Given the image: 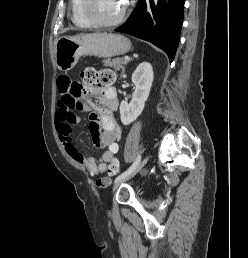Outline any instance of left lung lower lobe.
Segmentation results:
<instances>
[{"mask_svg":"<svg viewBox=\"0 0 248 258\" xmlns=\"http://www.w3.org/2000/svg\"><path fill=\"white\" fill-rule=\"evenodd\" d=\"M185 0H138L130 18L115 31L161 48L172 62L183 22Z\"/></svg>","mask_w":248,"mask_h":258,"instance_id":"1","label":"left lung lower lobe"}]
</instances>
